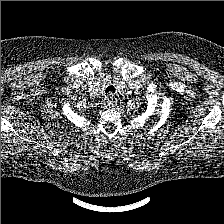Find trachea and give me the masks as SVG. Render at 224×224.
Segmentation results:
<instances>
[{"mask_svg": "<svg viewBox=\"0 0 224 224\" xmlns=\"http://www.w3.org/2000/svg\"><path fill=\"white\" fill-rule=\"evenodd\" d=\"M115 87L114 86H108L105 90L106 94L115 93Z\"/></svg>", "mask_w": 224, "mask_h": 224, "instance_id": "1", "label": "trachea"}]
</instances>
